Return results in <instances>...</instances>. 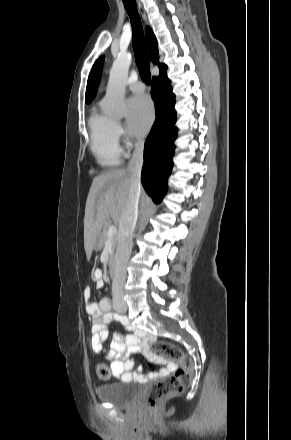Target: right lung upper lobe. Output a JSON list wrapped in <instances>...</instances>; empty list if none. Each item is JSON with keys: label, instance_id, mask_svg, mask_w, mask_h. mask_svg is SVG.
Instances as JSON below:
<instances>
[{"label": "right lung upper lobe", "instance_id": "obj_1", "mask_svg": "<svg viewBox=\"0 0 291 440\" xmlns=\"http://www.w3.org/2000/svg\"><path fill=\"white\" fill-rule=\"evenodd\" d=\"M146 40H147V46L149 51L150 59L153 63L158 64L160 73L166 71L167 66L165 64H160L158 62L159 59V53H158V46H157V40L152 32V30L149 27H146ZM102 61L103 58H100L95 62L93 65V68L90 72L88 82H87V88H86V96L85 101L87 103L91 102L92 99L95 96L100 76H101V69H102Z\"/></svg>", "mask_w": 291, "mask_h": 440}]
</instances>
